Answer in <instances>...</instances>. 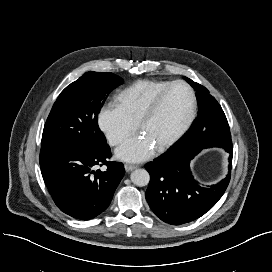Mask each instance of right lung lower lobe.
<instances>
[{
  "mask_svg": "<svg viewBox=\"0 0 272 272\" xmlns=\"http://www.w3.org/2000/svg\"><path fill=\"white\" fill-rule=\"evenodd\" d=\"M107 143L94 147L41 148L44 182L57 207L71 217L89 220L107 209L124 176L121 162H109ZM97 165H106L102 171Z\"/></svg>",
  "mask_w": 272,
  "mask_h": 272,
  "instance_id": "obj_1",
  "label": "right lung lower lobe"
}]
</instances>
